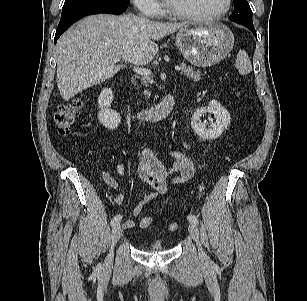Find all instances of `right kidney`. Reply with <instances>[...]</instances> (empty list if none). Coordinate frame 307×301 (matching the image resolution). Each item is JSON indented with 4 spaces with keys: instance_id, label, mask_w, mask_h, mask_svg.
<instances>
[{
    "instance_id": "right-kidney-1",
    "label": "right kidney",
    "mask_w": 307,
    "mask_h": 301,
    "mask_svg": "<svg viewBox=\"0 0 307 301\" xmlns=\"http://www.w3.org/2000/svg\"><path fill=\"white\" fill-rule=\"evenodd\" d=\"M113 99V92L110 88L103 89L98 98L100 109L98 120L109 130L116 129L121 121L120 115L110 108Z\"/></svg>"
}]
</instances>
